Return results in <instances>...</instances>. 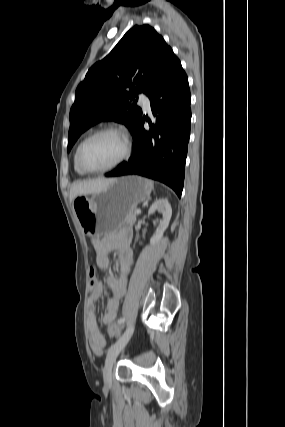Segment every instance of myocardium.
<instances>
[{"mask_svg":"<svg viewBox=\"0 0 285 427\" xmlns=\"http://www.w3.org/2000/svg\"><path fill=\"white\" fill-rule=\"evenodd\" d=\"M105 133H116V134L121 135L125 141L124 151H123L122 155L114 163L110 164L109 166H106V167H103L100 169H90V168L86 167L85 164L83 163V159H82L83 150H84L85 146L92 139L96 138L99 135L105 134ZM131 150H132V139H131L130 135L128 134V132H126L124 129L116 127V126H105V127H102L100 129L94 131L90 135H88L80 143V145L78 147V151H77V163H78V166L80 167V169L82 171H84L85 173H90V174L104 173V172L110 171V170L118 167L119 165H121L129 157Z\"/></svg>","mask_w":285,"mask_h":427,"instance_id":"myocardium-1","label":"myocardium"}]
</instances>
